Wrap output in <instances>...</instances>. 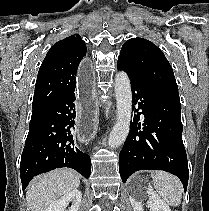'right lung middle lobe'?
<instances>
[{"instance_id":"right-lung-middle-lobe-1","label":"right lung middle lobe","mask_w":209,"mask_h":211,"mask_svg":"<svg viewBox=\"0 0 209 211\" xmlns=\"http://www.w3.org/2000/svg\"><path fill=\"white\" fill-rule=\"evenodd\" d=\"M39 116V112H33L30 123L33 122Z\"/></svg>"}]
</instances>
